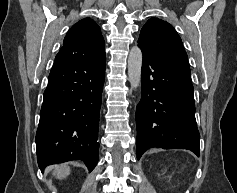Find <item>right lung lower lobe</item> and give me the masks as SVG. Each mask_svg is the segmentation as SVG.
<instances>
[{"label":"right lung lower lobe","mask_w":237,"mask_h":193,"mask_svg":"<svg viewBox=\"0 0 237 193\" xmlns=\"http://www.w3.org/2000/svg\"><path fill=\"white\" fill-rule=\"evenodd\" d=\"M106 56L78 59L58 53L48 77L36 133L39 168L83 160L98 162V130Z\"/></svg>","instance_id":"98d812e1"}]
</instances>
